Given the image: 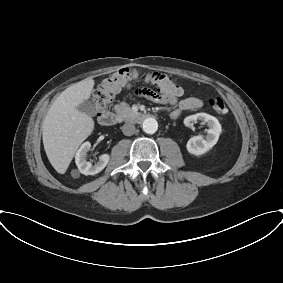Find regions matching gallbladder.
<instances>
[{
  "label": "gallbladder",
  "mask_w": 283,
  "mask_h": 283,
  "mask_svg": "<svg viewBox=\"0 0 283 283\" xmlns=\"http://www.w3.org/2000/svg\"><path fill=\"white\" fill-rule=\"evenodd\" d=\"M77 109L89 116H93L96 113V108L93 103L90 101H84L82 104H80Z\"/></svg>",
  "instance_id": "gallbladder-1"
}]
</instances>
